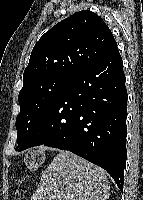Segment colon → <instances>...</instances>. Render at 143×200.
I'll use <instances>...</instances> for the list:
<instances>
[{
	"label": "colon",
	"mask_w": 143,
	"mask_h": 200,
	"mask_svg": "<svg viewBox=\"0 0 143 200\" xmlns=\"http://www.w3.org/2000/svg\"><path fill=\"white\" fill-rule=\"evenodd\" d=\"M45 159L44 153L40 150H29L24 155V164L28 171L34 172L38 170Z\"/></svg>",
	"instance_id": "5ec220e1"
}]
</instances>
